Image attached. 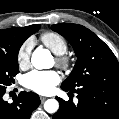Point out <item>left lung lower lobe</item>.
<instances>
[{
  "mask_svg": "<svg viewBox=\"0 0 119 119\" xmlns=\"http://www.w3.org/2000/svg\"><path fill=\"white\" fill-rule=\"evenodd\" d=\"M65 91L76 92L79 100L75 105L72 100L64 101L56 97L60 108L53 119H119V84L104 83L86 85Z\"/></svg>",
  "mask_w": 119,
  "mask_h": 119,
  "instance_id": "left-lung-lower-lobe-1",
  "label": "left lung lower lobe"
}]
</instances>
